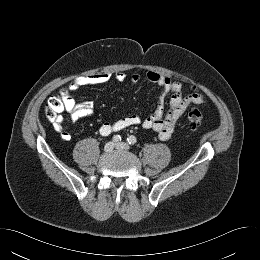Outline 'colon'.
Returning a JSON list of instances; mask_svg holds the SVG:
<instances>
[{
    "label": "colon",
    "instance_id": "5ec220e1",
    "mask_svg": "<svg viewBox=\"0 0 260 260\" xmlns=\"http://www.w3.org/2000/svg\"><path fill=\"white\" fill-rule=\"evenodd\" d=\"M66 93H60L58 96H52L48 99L45 106V115L50 121H59V114L64 110V98ZM204 115L198 108H190L187 111V122L191 129H198L204 122Z\"/></svg>",
    "mask_w": 260,
    "mask_h": 260
}]
</instances>
